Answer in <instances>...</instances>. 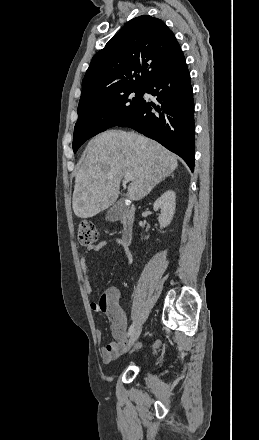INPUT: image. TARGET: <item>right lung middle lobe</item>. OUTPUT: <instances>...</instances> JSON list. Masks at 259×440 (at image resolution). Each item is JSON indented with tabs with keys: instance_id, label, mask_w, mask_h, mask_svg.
<instances>
[{
	"instance_id": "obj_1",
	"label": "right lung middle lobe",
	"mask_w": 259,
	"mask_h": 440,
	"mask_svg": "<svg viewBox=\"0 0 259 440\" xmlns=\"http://www.w3.org/2000/svg\"><path fill=\"white\" fill-rule=\"evenodd\" d=\"M146 88L122 90L78 109L73 136V151L89 138L117 126L133 115L142 104Z\"/></svg>"
}]
</instances>
